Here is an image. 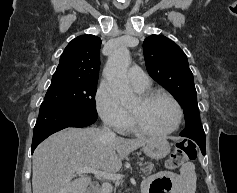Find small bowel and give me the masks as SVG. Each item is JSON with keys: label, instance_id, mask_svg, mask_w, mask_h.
Returning a JSON list of instances; mask_svg holds the SVG:
<instances>
[{"label": "small bowel", "instance_id": "obj_1", "mask_svg": "<svg viewBox=\"0 0 237 193\" xmlns=\"http://www.w3.org/2000/svg\"><path fill=\"white\" fill-rule=\"evenodd\" d=\"M143 193H199L193 163L184 164L178 173L161 171L142 183Z\"/></svg>", "mask_w": 237, "mask_h": 193}]
</instances>
